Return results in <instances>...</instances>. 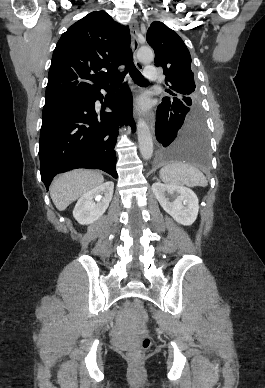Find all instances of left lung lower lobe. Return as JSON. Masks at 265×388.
Listing matches in <instances>:
<instances>
[{
    "label": "left lung lower lobe",
    "mask_w": 265,
    "mask_h": 388,
    "mask_svg": "<svg viewBox=\"0 0 265 388\" xmlns=\"http://www.w3.org/2000/svg\"><path fill=\"white\" fill-rule=\"evenodd\" d=\"M155 133L160 143L159 160L181 161L198 167L208 164V134L200 109L164 97L157 108Z\"/></svg>",
    "instance_id": "left-lung-lower-lobe-1"
}]
</instances>
